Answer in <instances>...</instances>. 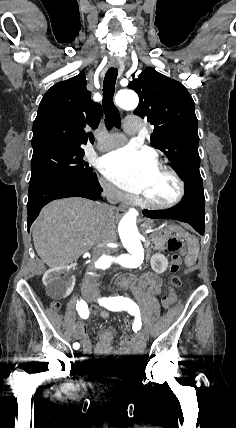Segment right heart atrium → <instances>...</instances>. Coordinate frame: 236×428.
Segmentation results:
<instances>
[{"instance_id":"right-heart-atrium-1","label":"right heart atrium","mask_w":236,"mask_h":428,"mask_svg":"<svg viewBox=\"0 0 236 428\" xmlns=\"http://www.w3.org/2000/svg\"><path fill=\"white\" fill-rule=\"evenodd\" d=\"M98 186L102 196L108 200L120 201L125 198V195L119 189L104 178H98Z\"/></svg>"}]
</instances>
